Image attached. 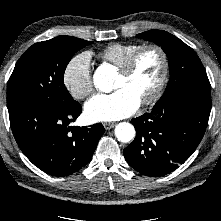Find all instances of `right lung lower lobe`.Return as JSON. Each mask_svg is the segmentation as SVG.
Instances as JSON below:
<instances>
[{
	"instance_id": "1",
	"label": "right lung lower lobe",
	"mask_w": 221,
	"mask_h": 221,
	"mask_svg": "<svg viewBox=\"0 0 221 221\" xmlns=\"http://www.w3.org/2000/svg\"><path fill=\"white\" fill-rule=\"evenodd\" d=\"M10 125L18 146L39 169L54 176L79 171L92 158L105 129L69 126L81 114V105L47 106L28 101L8 107Z\"/></svg>"
}]
</instances>
